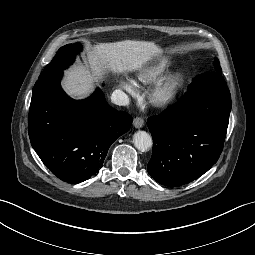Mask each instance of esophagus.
I'll return each mask as SVG.
<instances>
[{
    "instance_id": "34e87169",
    "label": "esophagus",
    "mask_w": 255,
    "mask_h": 255,
    "mask_svg": "<svg viewBox=\"0 0 255 255\" xmlns=\"http://www.w3.org/2000/svg\"><path fill=\"white\" fill-rule=\"evenodd\" d=\"M133 125L135 128H142L144 126L143 118H141V117L134 118Z\"/></svg>"
}]
</instances>
